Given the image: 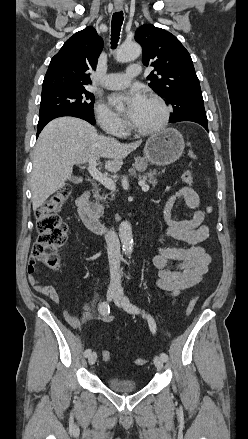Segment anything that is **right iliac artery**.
I'll return each mask as SVG.
<instances>
[{"mask_svg":"<svg viewBox=\"0 0 248 439\" xmlns=\"http://www.w3.org/2000/svg\"><path fill=\"white\" fill-rule=\"evenodd\" d=\"M100 313L104 316H107L110 313V307L107 302L101 303L99 307ZM91 354V349H86L84 352V356L88 357Z\"/></svg>","mask_w":248,"mask_h":439,"instance_id":"obj_1","label":"right iliac artery"}]
</instances>
